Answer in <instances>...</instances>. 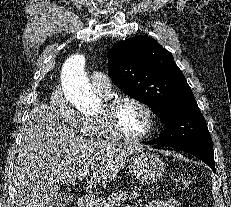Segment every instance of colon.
I'll list each match as a JSON object with an SVG mask.
<instances>
[{"label": "colon", "instance_id": "obj_1", "mask_svg": "<svg viewBox=\"0 0 231 207\" xmlns=\"http://www.w3.org/2000/svg\"><path fill=\"white\" fill-rule=\"evenodd\" d=\"M174 180L177 188L181 191H187L191 188V180L186 175H177Z\"/></svg>", "mask_w": 231, "mask_h": 207}]
</instances>
